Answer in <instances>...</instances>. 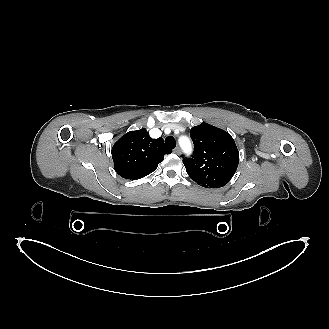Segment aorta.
<instances>
[{"label": "aorta", "instance_id": "1", "mask_svg": "<svg viewBox=\"0 0 329 329\" xmlns=\"http://www.w3.org/2000/svg\"><path fill=\"white\" fill-rule=\"evenodd\" d=\"M179 144L183 148L184 151H189L191 149L190 140L186 136L180 137Z\"/></svg>", "mask_w": 329, "mask_h": 329}]
</instances>
